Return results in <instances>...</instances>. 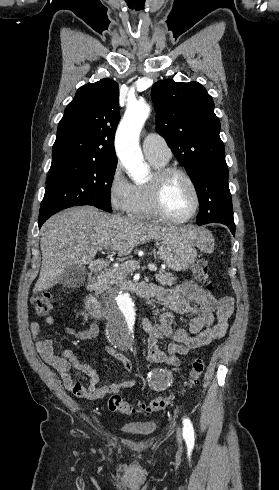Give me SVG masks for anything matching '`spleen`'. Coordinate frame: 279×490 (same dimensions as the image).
Returning <instances> with one entry per match:
<instances>
[{"label":"spleen","mask_w":279,"mask_h":490,"mask_svg":"<svg viewBox=\"0 0 279 490\" xmlns=\"http://www.w3.org/2000/svg\"><path fill=\"white\" fill-rule=\"evenodd\" d=\"M201 250L202 252H206V254H210L214 250L212 236H210L207 230H201Z\"/></svg>","instance_id":"1"}]
</instances>
